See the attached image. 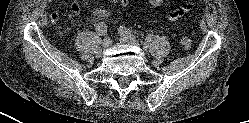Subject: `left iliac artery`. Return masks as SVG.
<instances>
[{"label":"left iliac artery","instance_id":"44dca946","mask_svg":"<svg viewBox=\"0 0 249 123\" xmlns=\"http://www.w3.org/2000/svg\"><path fill=\"white\" fill-rule=\"evenodd\" d=\"M119 32L129 37L136 38V35L131 30L127 29L126 27L121 26L119 28Z\"/></svg>","mask_w":249,"mask_h":123}]
</instances>
